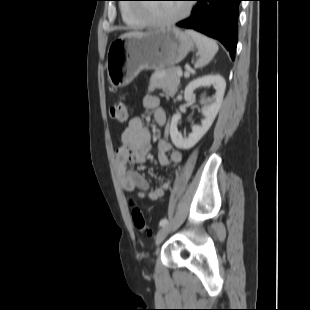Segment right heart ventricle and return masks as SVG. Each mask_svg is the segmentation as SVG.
<instances>
[{
	"instance_id": "e07e8e85",
	"label": "right heart ventricle",
	"mask_w": 310,
	"mask_h": 310,
	"mask_svg": "<svg viewBox=\"0 0 310 310\" xmlns=\"http://www.w3.org/2000/svg\"><path fill=\"white\" fill-rule=\"evenodd\" d=\"M120 13L123 22L130 28H142L147 25L143 18H138L135 16L134 8L130 4H121Z\"/></svg>"
}]
</instances>
